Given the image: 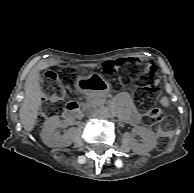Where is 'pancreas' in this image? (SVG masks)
Segmentation results:
<instances>
[{"label":"pancreas","mask_w":194,"mask_h":193,"mask_svg":"<svg viewBox=\"0 0 194 193\" xmlns=\"http://www.w3.org/2000/svg\"><path fill=\"white\" fill-rule=\"evenodd\" d=\"M110 99V96H106L105 94L98 95L97 101L98 104L101 105L107 102Z\"/></svg>","instance_id":"obj_1"}]
</instances>
